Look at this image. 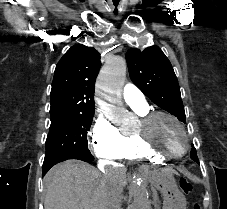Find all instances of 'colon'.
I'll use <instances>...</instances> for the list:
<instances>
[{
	"label": "colon",
	"instance_id": "colon-1",
	"mask_svg": "<svg viewBox=\"0 0 227 209\" xmlns=\"http://www.w3.org/2000/svg\"><path fill=\"white\" fill-rule=\"evenodd\" d=\"M179 187L183 192L188 193L191 190V183L187 179H180ZM192 209H201V206L199 203L195 202Z\"/></svg>",
	"mask_w": 227,
	"mask_h": 209
}]
</instances>
